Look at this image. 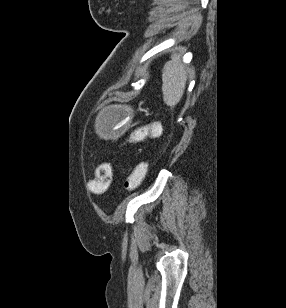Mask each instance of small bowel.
I'll use <instances>...</instances> for the list:
<instances>
[{
  "label": "small bowel",
  "mask_w": 286,
  "mask_h": 308,
  "mask_svg": "<svg viewBox=\"0 0 286 308\" xmlns=\"http://www.w3.org/2000/svg\"><path fill=\"white\" fill-rule=\"evenodd\" d=\"M151 123H158V122L154 121V122H151Z\"/></svg>",
  "instance_id": "small-bowel-1"
}]
</instances>
